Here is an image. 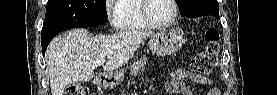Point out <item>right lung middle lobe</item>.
I'll return each mask as SVG.
<instances>
[{
    "instance_id": "1",
    "label": "right lung middle lobe",
    "mask_w": 277,
    "mask_h": 95,
    "mask_svg": "<svg viewBox=\"0 0 277 95\" xmlns=\"http://www.w3.org/2000/svg\"><path fill=\"white\" fill-rule=\"evenodd\" d=\"M104 0H48L41 36L79 27L103 24Z\"/></svg>"
}]
</instances>
